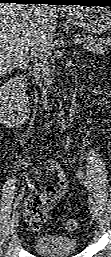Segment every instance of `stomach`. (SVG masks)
I'll return each instance as SVG.
<instances>
[{
    "label": "stomach",
    "mask_w": 111,
    "mask_h": 257,
    "mask_svg": "<svg viewBox=\"0 0 111 257\" xmlns=\"http://www.w3.org/2000/svg\"><path fill=\"white\" fill-rule=\"evenodd\" d=\"M73 24L94 33L102 34L111 28V12L105 7L75 6L66 12Z\"/></svg>",
    "instance_id": "0dacf381"
}]
</instances>
